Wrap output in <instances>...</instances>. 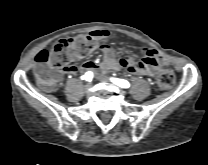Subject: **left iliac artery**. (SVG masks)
<instances>
[{"label":"left iliac artery","mask_w":208,"mask_h":165,"mask_svg":"<svg viewBox=\"0 0 208 165\" xmlns=\"http://www.w3.org/2000/svg\"><path fill=\"white\" fill-rule=\"evenodd\" d=\"M111 81L114 84H116V85H118V86H120L122 88H128L130 86L129 82L124 80V79L111 78Z\"/></svg>","instance_id":"44dca946"}]
</instances>
